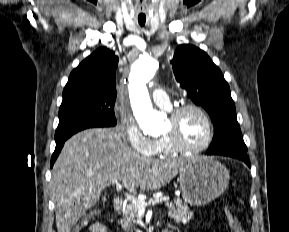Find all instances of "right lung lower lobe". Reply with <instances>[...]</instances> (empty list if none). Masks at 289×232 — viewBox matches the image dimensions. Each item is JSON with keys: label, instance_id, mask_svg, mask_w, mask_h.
I'll return each mask as SVG.
<instances>
[{"label": "right lung lower lobe", "instance_id": "1", "mask_svg": "<svg viewBox=\"0 0 289 232\" xmlns=\"http://www.w3.org/2000/svg\"><path fill=\"white\" fill-rule=\"evenodd\" d=\"M64 142L65 141L60 142V143H56V148H55V151H54V153L52 155V158H51V164H50L51 167L53 166L55 160L57 159V157H58V155H59V153H60V151H61V149H62V147L64 145Z\"/></svg>", "mask_w": 289, "mask_h": 232}]
</instances>
